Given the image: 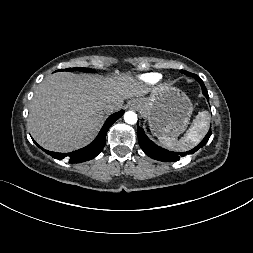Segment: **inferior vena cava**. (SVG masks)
<instances>
[{
    "label": "inferior vena cava",
    "mask_w": 253,
    "mask_h": 253,
    "mask_svg": "<svg viewBox=\"0 0 253 253\" xmlns=\"http://www.w3.org/2000/svg\"><path fill=\"white\" fill-rule=\"evenodd\" d=\"M112 109H114V105L108 104V105L106 106V110H107V111H111Z\"/></svg>",
    "instance_id": "602c4592"
}]
</instances>
